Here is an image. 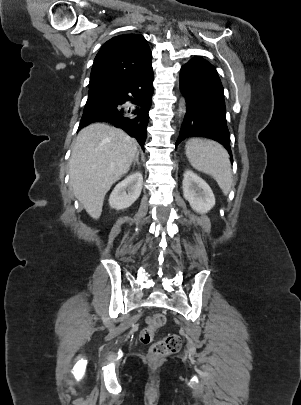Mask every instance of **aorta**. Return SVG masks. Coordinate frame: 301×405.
<instances>
[{"label": "aorta", "instance_id": "obj_1", "mask_svg": "<svg viewBox=\"0 0 301 405\" xmlns=\"http://www.w3.org/2000/svg\"><path fill=\"white\" fill-rule=\"evenodd\" d=\"M186 112V105L184 102H181L180 107L178 109L179 116H183Z\"/></svg>", "mask_w": 301, "mask_h": 405}]
</instances>
